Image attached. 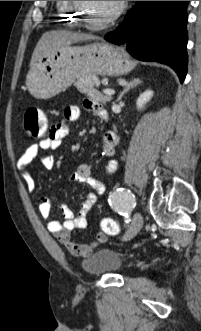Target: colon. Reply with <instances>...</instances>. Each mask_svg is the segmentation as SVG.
I'll return each mask as SVG.
<instances>
[{
  "label": "colon",
  "mask_w": 201,
  "mask_h": 331,
  "mask_svg": "<svg viewBox=\"0 0 201 331\" xmlns=\"http://www.w3.org/2000/svg\"><path fill=\"white\" fill-rule=\"evenodd\" d=\"M24 130L31 138L45 137L49 131V125L45 114L36 107H30L25 112ZM102 232L97 234L96 242L104 243L106 235L115 236L119 233L118 224L112 218L105 217L101 221Z\"/></svg>",
  "instance_id": "1"
}]
</instances>
